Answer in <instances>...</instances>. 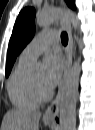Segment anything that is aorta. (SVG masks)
Returning a JSON list of instances; mask_svg holds the SVG:
<instances>
[{"label": "aorta", "instance_id": "aorta-1", "mask_svg": "<svg viewBox=\"0 0 95 130\" xmlns=\"http://www.w3.org/2000/svg\"><path fill=\"white\" fill-rule=\"evenodd\" d=\"M69 21L72 27L79 32L80 23L76 15L60 8H49L42 11L36 17V25L44 27L55 21ZM83 48L81 40L79 49ZM39 68L36 67V70ZM81 74V57H78L73 63L72 68L65 77L60 93L59 125L60 130H75L76 128V102L78 96L79 79Z\"/></svg>", "mask_w": 95, "mask_h": 130}]
</instances>
